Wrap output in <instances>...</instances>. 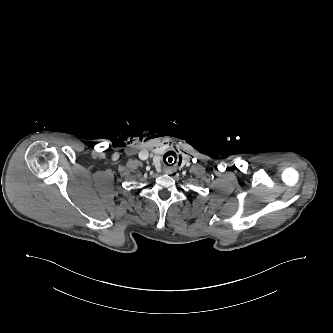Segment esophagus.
<instances>
[{"label":"esophagus","instance_id":"obj_1","mask_svg":"<svg viewBox=\"0 0 333 333\" xmlns=\"http://www.w3.org/2000/svg\"><path fill=\"white\" fill-rule=\"evenodd\" d=\"M164 172H165L166 174L171 175V174H173L174 172H176V169H175V168H172V167H168V168H165Z\"/></svg>","mask_w":333,"mask_h":333}]
</instances>
